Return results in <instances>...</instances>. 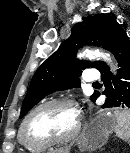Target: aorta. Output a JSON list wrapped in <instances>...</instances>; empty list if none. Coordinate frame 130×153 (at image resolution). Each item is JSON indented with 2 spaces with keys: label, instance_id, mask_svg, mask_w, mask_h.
Here are the masks:
<instances>
[{
  "label": "aorta",
  "instance_id": "1",
  "mask_svg": "<svg viewBox=\"0 0 130 153\" xmlns=\"http://www.w3.org/2000/svg\"><path fill=\"white\" fill-rule=\"evenodd\" d=\"M78 57L80 59L81 58H87L89 60L102 59V60H104L105 62H107L108 64H110L112 66L110 55L108 53L100 52L99 50H93V51L86 50L83 53H80L78 55Z\"/></svg>",
  "mask_w": 130,
  "mask_h": 153
}]
</instances>
